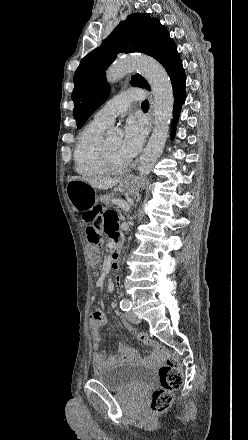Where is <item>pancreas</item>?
I'll list each match as a JSON object with an SVG mask.
<instances>
[{
  "label": "pancreas",
  "mask_w": 248,
  "mask_h": 440,
  "mask_svg": "<svg viewBox=\"0 0 248 440\" xmlns=\"http://www.w3.org/2000/svg\"><path fill=\"white\" fill-rule=\"evenodd\" d=\"M114 200H115L114 194L103 195L100 197V201L106 205L113 203Z\"/></svg>",
  "instance_id": "cf45deb5"
}]
</instances>
